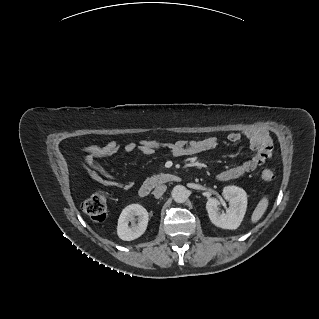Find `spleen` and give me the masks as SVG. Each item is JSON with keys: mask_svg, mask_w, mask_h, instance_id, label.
Listing matches in <instances>:
<instances>
[{"mask_svg": "<svg viewBox=\"0 0 319 319\" xmlns=\"http://www.w3.org/2000/svg\"><path fill=\"white\" fill-rule=\"evenodd\" d=\"M268 198L267 197H263L259 203L257 204L255 210L252 213L251 216V222L252 223H256L258 222L261 217L264 215L265 211L267 210L268 207Z\"/></svg>", "mask_w": 319, "mask_h": 319, "instance_id": "spleen-1", "label": "spleen"}]
</instances>
